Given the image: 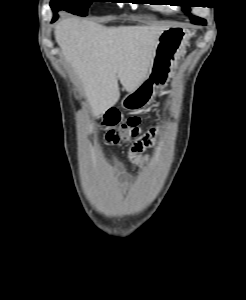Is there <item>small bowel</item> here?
I'll use <instances>...</instances> for the list:
<instances>
[{"label":"small bowel","instance_id":"obj_1","mask_svg":"<svg viewBox=\"0 0 246 300\" xmlns=\"http://www.w3.org/2000/svg\"><path fill=\"white\" fill-rule=\"evenodd\" d=\"M136 155V151L132 150V156ZM129 182V178L128 177H124L120 180V184L121 185H127Z\"/></svg>","mask_w":246,"mask_h":300}]
</instances>
